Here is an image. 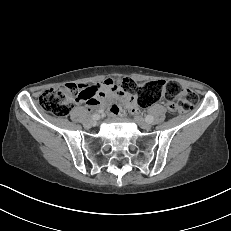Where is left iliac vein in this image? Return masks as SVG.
<instances>
[{
  "mask_svg": "<svg viewBox=\"0 0 231 231\" xmlns=\"http://www.w3.org/2000/svg\"><path fill=\"white\" fill-rule=\"evenodd\" d=\"M136 122L143 129L149 130L151 128V124L139 116L136 117Z\"/></svg>",
  "mask_w": 231,
  "mask_h": 231,
  "instance_id": "obj_1",
  "label": "left iliac vein"
}]
</instances>
